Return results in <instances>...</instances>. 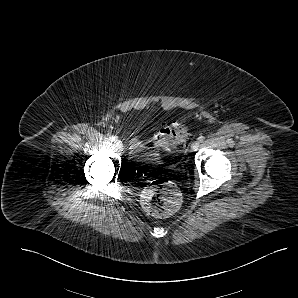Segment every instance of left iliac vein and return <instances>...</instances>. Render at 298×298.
<instances>
[{"instance_id":"1","label":"left iliac vein","mask_w":298,"mask_h":298,"mask_svg":"<svg viewBox=\"0 0 298 298\" xmlns=\"http://www.w3.org/2000/svg\"><path fill=\"white\" fill-rule=\"evenodd\" d=\"M199 146H200V142H199V141H194V142L191 144V150H192V151H196V150H198Z\"/></svg>"}]
</instances>
